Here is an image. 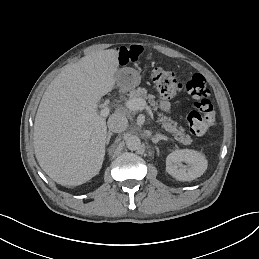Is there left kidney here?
<instances>
[{
    "mask_svg": "<svg viewBox=\"0 0 259 259\" xmlns=\"http://www.w3.org/2000/svg\"><path fill=\"white\" fill-rule=\"evenodd\" d=\"M182 162L187 163V166ZM207 165L202 153L189 149L175 150L166 158V171L179 181H191L200 177Z\"/></svg>",
    "mask_w": 259,
    "mask_h": 259,
    "instance_id": "1",
    "label": "left kidney"
}]
</instances>
